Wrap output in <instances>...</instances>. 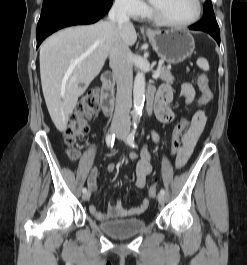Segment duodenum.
Instances as JSON below:
<instances>
[{
  "label": "duodenum",
  "mask_w": 247,
  "mask_h": 265,
  "mask_svg": "<svg viewBox=\"0 0 247 265\" xmlns=\"http://www.w3.org/2000/svg\"><path fill=\"white\" fill-rule=\"evenodd\" d=\"M152 107L155 102L154 94L150 95ZM114 107V77L106 72L101 78V108L105 115H110Z\"/></svg>",
  "instance_id": "1"
}]
</instances>
